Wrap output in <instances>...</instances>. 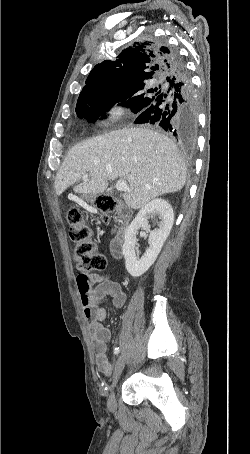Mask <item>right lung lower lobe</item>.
<instances>
[{"label":"right lung lower lobe","mask_w":250,"mask_h":454,"mask_svg":"<svg viewBox=\"0 0 250 454\" xmlns=\"http://www.w3.org/2000/svg\"><path fill=\"white\" fill-rule=\"evenodd\" d=\"M171 68L157 96L146 104L134 121L161 127L185 143L195 140L197 108L188 70L177 51L167 47Z\"/></svg>","instance_id":"right-lung-lower-lobe-1"}]
</instances>
